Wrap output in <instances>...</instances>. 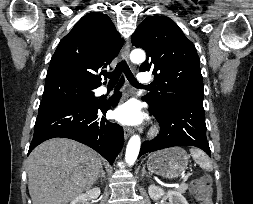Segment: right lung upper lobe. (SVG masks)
<instances>
[{"label": "right lung upper lobe", "mask_w": 253, "mask_h": 204, "mask_svg": "<svg viewBox=\"0 0 253 204\" xmlns=\"http://www.w3.org/2000/svg\"><path fill=\"white\" fill-rule=\"evenodd\" d=\"M122 42L107 15L88 13L60 41L50 61L46 83L69 81L99 87L100 73L106 72Z\"/></svg>", "instance_id": "cb5924a9"}]
</instances>
